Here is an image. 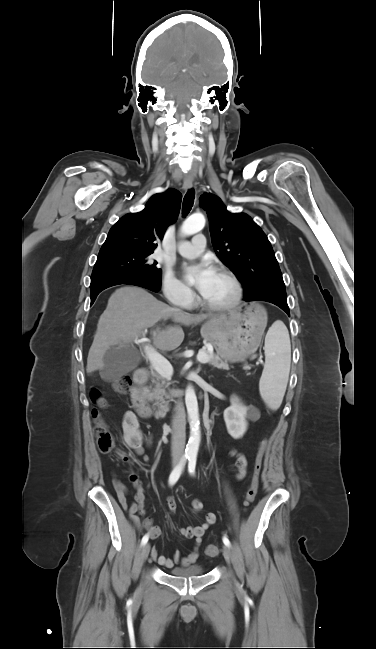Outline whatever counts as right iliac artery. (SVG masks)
<instances>
[{
    "label": "right iliac artery",
    "mask_w": 376,
    "mask_h": 649,
    "mask_svg": "<svg viewBox=\"0 0 376 649\" xmlns=\"http://www.w3.org/2000/svg\"><path fill=\"white\" fill-rule=\"evenodd\" d=\"M186 459H187V456H184L181 459V461L179 462V464L171 472V474L169 476V484L170 485H174L178 481V479H179V477L181 475L183 466H184V464L186 462ZM148 539H149L148 534L144 535L143 538H142V541H141V545L142 546L145 545L148 542Z\"/></svg>",
    "instance_id": "82829eb1"
}]
</instances>
